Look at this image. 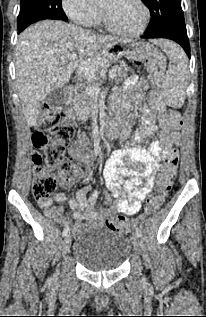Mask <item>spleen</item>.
Returning a JSON list of instances; mask_svg holds the SVG:
<instances>
[{
  "instance_id": "obj_1",
  "label": "spleen",
  "mask_w": 206,
  "mask_h": 317,
  "mask_svg": "<svg viewBox=\"0 0 206 317\" xmlns=\"http://www.w3.org/2000/svg\"><path fill=\"white\" fill-rule=\"evenodd\" d=\"M157 44L168 56L169 66L161 92L165 102L173 108H181L186 96L188 61L184 51L169 40H157Z\"/></svg>"
}]
</instances>
